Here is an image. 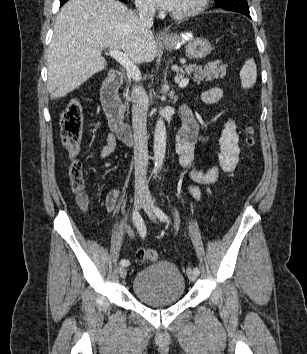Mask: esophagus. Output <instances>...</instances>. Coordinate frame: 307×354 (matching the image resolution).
I'll use <instances>...</instances> for the list:
<instances>
[{"mask_svg": "<svg viewBox=\"0 0 307 354\" xmlns=\"http://www.w3.org/2000/svg\"><path fill=\"white\" fill-rule=\"evenodd\" d=\"M157 38H158V39H165V38H166V35H165V33H163V32H158V33H157Z\"/></svg>", "mask_w": 307, "mask_h": 354, "instance_id": "1", "label": "esophagus"}]
</instances>
